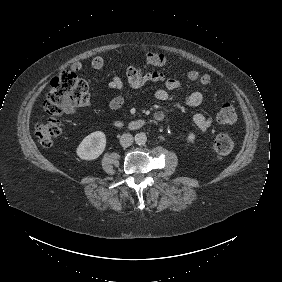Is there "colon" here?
Listing matches in <instances>:
<instances>
[{
  "label": "colon",
  "instance_id": "5ec220e1",
  "mask_svg": "<svg viewBox=\"0 0 282 282\" xmlns=\"http://www.w3.org/2000/svg\"><path fill=\"white\" fill-rule=\"evenodd\" d=\"M146 63L155 67L163 66L164 55L156 51L149 52L146 55ZM188 78L202 84L210 81L208 75H200L196 72H190ZM88 98L87 83L75 73L64 72L53 79L44 104L50 118L47 122L38 124L35 129L39 141L45 145L52 144L61 130V122L57 117L72 107L85 106ZM218 120L222 124L233 125L238 120V114L233 107L224 105L218 113ZM233 147L234 141L228 134L220 133L215 136L213 148L217 155L226 156L233 150Z\"/></svg>",
  "mask_w": 282,
  "mask_h": 282
}]
</instances>
